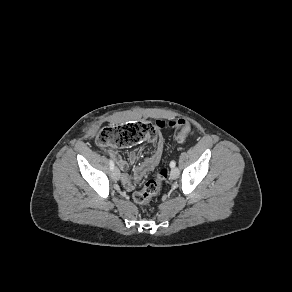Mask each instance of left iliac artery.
Here are the masks:
<instances>
[{"instance_id": "1", "label": "left iliac artery", "mask_w": 292, "mask_h": 292, "mask_svg": "<svg viewBox=\"0 0 292 292\" xmlns=\"http://www.w3.org/2000/svg\"><path fill=\"white\" fill-rule=\"evenodd\" d=\"M176 166V162L174 161V160H172L171 162H170V167L171 168H174Z\"/></svg>"}]
</instances>
